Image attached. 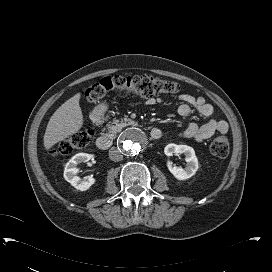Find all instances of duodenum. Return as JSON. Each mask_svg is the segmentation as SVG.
Here are the masks:
<instances>
[{"label": "duodenum", "mask_w": 272, "mask_h": 272, "mask_svg": "<svg viewBox=\"0 0 272 272\" xmlns=\"http://www.w3.org/2000/svg\"><path fill=\"white\" fill-rule=\"evenodd\" d=\"M104 113H105L104 108L101 106H98L91 113V119L96 123L100 122ZM150 136L152 139H155V140L161 138L162 136L161 130L156 127L151 128ZM111 144H112V138L108 135H101L96 140V146L100 150L108 149L111 146Z\"/></svg>", "instance_id": "410a0bca"}]
</instances>
